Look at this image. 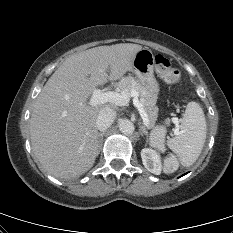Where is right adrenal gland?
<instances>
[{"mask_svg": "<svg viewBox=\"0 0 233 233\" xmlns=\"http://www.w3.org/2000/svg\"><path fill=\"white\" fill-rule=\"evenodd\" d=\"M104 134H105V131L99 133V144L102 143Z\"/></svg>", "mask_w": 233, "mask_h": 233, "instance_id": "1", "label": "right adrenal gland"}]
</instances>
